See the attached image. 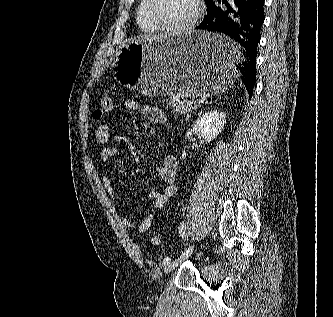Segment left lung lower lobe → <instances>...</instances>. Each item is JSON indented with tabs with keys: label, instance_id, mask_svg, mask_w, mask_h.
<instances>
[{
	"label": "left lung lower lobe",
	"instance_id": "left-lung-lower-lobe-1",
	"mask_svg": "<svg viewBox=\"0 0 333 317\" xmlns=\"http://www.w3.org/2000/svg\"><path fill=\"white\" fill-rule=\"evenodd\" d=\"M207 5V14L197 29L225 34L238 42L244 49L239 51L231 46L210 48L209 52L236 66L251 98L256 79L257 45L261 38V26L264 22V0H218ZM235 68V69H236Z\"/></svg>",
	"mask_w": 333,
	"mask_h": 317
}]
</instances>
